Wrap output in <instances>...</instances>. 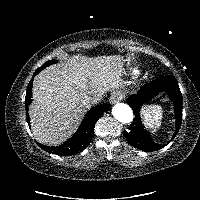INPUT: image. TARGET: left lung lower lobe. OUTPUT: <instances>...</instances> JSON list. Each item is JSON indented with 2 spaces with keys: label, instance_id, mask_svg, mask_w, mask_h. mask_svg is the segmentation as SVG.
<instances>
[{
  "label": "left lung lower lobe",
  "instance_id": "left-lung-lower-lobe-1",
  "mask_svg": "<svg viewBox=\"0 0 200 200\" xmlns=\"http://www.w3.org/2000/svg\"><path fill=\"white\" fill-rule=\"evenodd\" d=\"M161 91H165L174 104L176 130L172 137L173 139L179 131L182 121V94L174 76L157 78L142 86L137 94L127 98V103L133 109L136 117L128 130H124V136L129 144L145 152L156 151L167 145L159 144L152 140L150 133L144 129L139 114L143 103L150 101Z\"/></svg>",
  "mask_w": 200,
  "mask_h": 200
}]
</instances>
